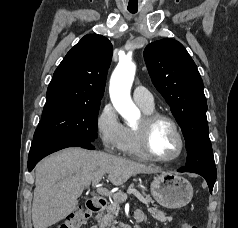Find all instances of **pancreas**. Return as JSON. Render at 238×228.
Masks as SVG:
<instances>
[{"instance_id":"1","label":"pancreas","mask_w":238,"mask_h":228,"mask_svg":"<svg viewBox=\"0 0 238 228\" xmlns=\"http://www.w3.org/2000/svg\"><path fill=\"white\" fill-rule=\"evenodd\" d=\"M121 194H123V192H119ZM146 201L148 203H154V201L152 200V198L147 195L144 191H142ZM124 201L121 199H117L114 198L108 205L106 212L100 216V218L98 219V223L100 225V228H117L116 225L118 224L116 218L119 214V210H120V204L123 203ZM148 211L150 213V215L160 221V222H171L172 221V217H167L164 211L158 210L157 207H152V208H148Z\"/></svg>"}]
</instances>
